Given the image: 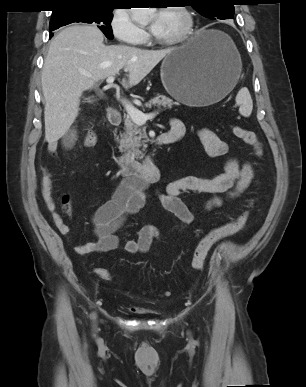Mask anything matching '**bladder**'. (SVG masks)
I'll list each match as a JSON object with an SVG mask.
<instances>
[{
	"label": "bladder",
	"instance_id": "obj_1",
	"mask_svg": "<svg viewBox=\"0 0 306 387\" xmlns=\"http://www.w3.org/2000/svg\"><path fill=\"white\" fill-rule=\"evenodd\" d=\"M138 313H140V314H152V315H155V314H158V311L155 310V309H139Z\"/></svg>",
	"mask_w": 306,
	"mask_h": 387
}]
</instances>
